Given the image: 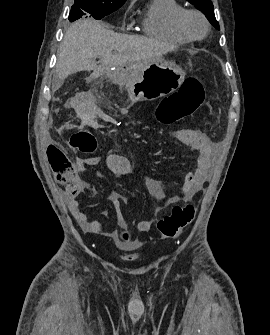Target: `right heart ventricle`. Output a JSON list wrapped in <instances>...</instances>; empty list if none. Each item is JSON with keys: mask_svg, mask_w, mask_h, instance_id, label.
Returning a JSON list of instances; mask_svg holds the SVG:
<instances>
[{"mask_svg": "<svg viewBox=\"0 0 270 335\" xmlns=\"http://www.w3.org/2000/svg\"><path fill=\"white\" fill-rule=\"evenodd\" d=\"M184 7L177 0H153L140 20L142 31L153 38L174 44H186L191 40L177 27V17Z\"/></svg>", "mask_w": 270, "mask_h": 335, "instance_id": "right-heart-ventricle-1", "label": "right heart ventricle"}]
</instances>
